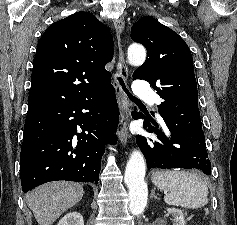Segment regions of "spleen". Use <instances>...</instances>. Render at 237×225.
Here are the masks:
<instances>
[{"label":"spleen","mask_w":237,"mask_h":225,"mask_svg":"<svg viewBox=\"0 0 237 225\" xmlns=\"http://www.w3.org/2000/svg\"><path fill=\"white\" fill-rule=\"evenodd\" d=\"M152 182L165 191L164 201L168 205L196 209L208 203V187L196 174L184 170L155 171Z\"/></svg>","instance_id":"3e777b00"}]
</instances>
